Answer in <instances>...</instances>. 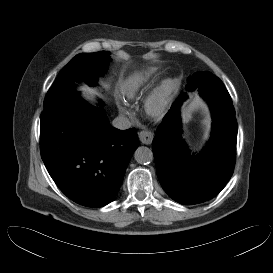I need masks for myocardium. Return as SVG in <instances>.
<instances>
[{
	"label": "myocardium",
	"mask_w": 273,
	"mask_h": 273,
	"mask_svg": "<svg viewBox=\"0 0 273 273\" xmlns=\"http://www.w3.org/2000/svg\"><path fill=\"white\" fill-rule=\"evenodd\" d=\"M173 81H162L150 93L146 99V108L150 114L159 115L165 108L169 98Z\"/></svg>",
	"instance_id": "myocardium-1"
}]
</instances>
